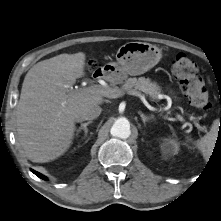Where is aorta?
Masks as SVG:
<instances>
[{
    "label": "aorta",
    "mask_w": 221,
    "mask_h": 221,
    "mask_svg": "<svg viewBox=\"0 0 221 221\" xmlns=\"http://www.w3.org/2000/svg\"><path fill=\"white\" fill-rule=\"evenodd\" d=\"M110 132L114 137L127 139L131 134L130 122L125 117H119L115 120Z\"/></svg>",
    "instance_id": "obj_1"
}]
</instances>
